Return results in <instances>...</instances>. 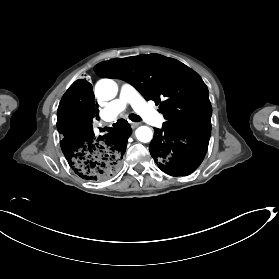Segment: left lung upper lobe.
Segmentation results:
<instances>
[{"instance_id":"obj_1","label":"left lung upper lobe","mask_w":279,"mask_h":279,"mask_svg":"<svg viewBox=\"0 0 279 279\" xmlns=\"http://www.w3.org/2000/svg\"><path fill=\"white\" fill-rule=\"evenodd\" d=\"M94 71L130 83L146 100L159 104L166 119L163 127L211 132L208 89L196 72L178 60L159 54L116 58L97 64Z\"/></svg>"}]
</instances>
